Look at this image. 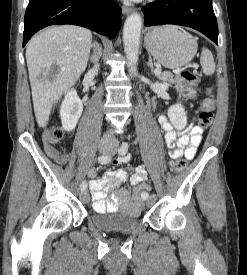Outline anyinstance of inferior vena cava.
<instances>
[{
  "label": "inferior vena cava",
  "mask_w": 247,
  "mask_h": 275,
  "mask_svg": "<svg viewBox=\"0 0 247 275\" xmlns=\"http://www.w3.org/2000/svg\"><path fill=\"white\" fill-rule=\"evenodd\" d=\"M94 47V67H93V72H98L99 70V64H98V60H99V54H101V47L97 44L94 43L93 44ZM103 143H114L115 142V138L112 134L108 133L105 134L101 140Z\"/></svg>",
  "instance_id": "inferior-vena-cava-1"
}]
</instances>
